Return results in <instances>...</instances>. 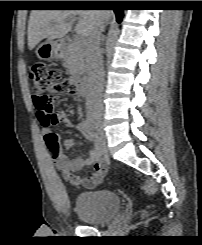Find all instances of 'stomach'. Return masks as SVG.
Masks as SVG:
<instances>
[{"label": "stomach", "instance_id": "0dacf381", "mask_svg": "<svg viewBox=\"0 0 202 245\" xmlns=\"http://www.w3.org/2000/svg\"><path fill=\"white\" fill-rule=\"evenodd\" d=\"M37 57L41 60H53L59 56V46L56 41H45L36 48Z\"/></svg>", "mask_w": 202, "mask_h": 245}]
</instances>
